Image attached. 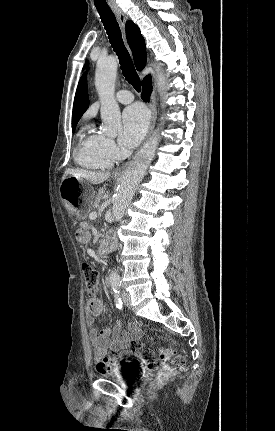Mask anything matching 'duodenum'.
<instances>
[{
  "mask_svg": "<svg viewBox=\"0 0 275 431\" xmlns=\"http://www.w3.org/2000/svg\"><path fill=\"white\" fill-rule=\"evenodd\" d=\"M116 247H117V244L115 240H113L109 236H105L100 240L98 254L99 255L107 254L109 252L114 251Z\"/></svg>",
  "mask_w": 275,
  "mask_h": 431,
  "instance_id": "1",
  "label": "duodenum"
}]
</instances>
